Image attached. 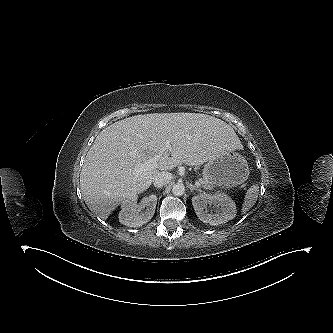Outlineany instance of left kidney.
Returning a JSON list of instances; mask_svg holds the SVG:
<instances>
[{"label": "left kidney", "mask_w": 333, "mask_h": 333, "mask_svg": "<svg viewBox=\"0 0 333 333\" xmlns=\"http://www.w3.org/2000/svg\"><path fill=\"white\" fill-rule=\"evenodd\" d=\"M192 205L197 217L204 223L217 226L232 220L236 216V204L226 194L202 193L192 197ZM208 205H213L214 213H209Z\"/></svg>", "instance_id": "5707ae66"}]
</instances>
